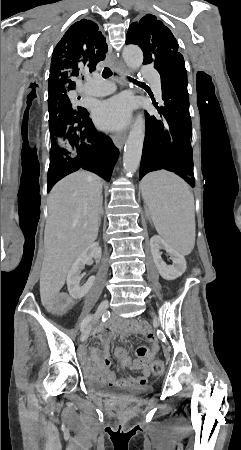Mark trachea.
Wrapping results in <instances>:
<instances>
[{
    "label": "trachea",
    "mask_w": 241,
    "mask_h": 450,
    "mask_svg": "<svg viewBox=\"0 0 241 450\" xmlns=\"http://www.w3.org/2000/svg\"><path fill=\"white\" fill-rule=\"evenodd\" d=\"M111 75H112V70L108 67H105L102 72L103 78H109V77H111ZM130 80H134V79L130 78ZM134 81L136 82L137 80H134Z\"/></svg>",
    "instance_id": "3493384b"
}]
</instances>
